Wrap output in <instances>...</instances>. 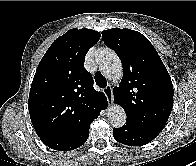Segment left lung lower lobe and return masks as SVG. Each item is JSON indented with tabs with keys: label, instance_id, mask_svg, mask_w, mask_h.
<instances>
[{
	"label": "left lung lower lobe",
	"instance_id": "1",
	"mask_svg": "<svg viewBox=\"0 0 196 166\" xmlns=\"http://www.w3.org/2000/svg\"><path fill=\"white\" fill-rule=\"evenodd\" d=\"M159 133L139 128L131 123H126L121 128H114L113 135L117 142L129 146L145 145L152 141Z\"/></svg>",
	"mask_w": 196,
	"mask_h": 166
}]
</instances>
